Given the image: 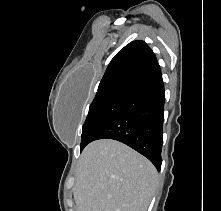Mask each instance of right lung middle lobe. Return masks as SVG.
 Returning <instances> with one entry per match:
<instances>
[{
    "mask_svg": "<svg viewBox=\"0 0 221 211\" xmlns=\"http://www.w3.org/2000/svg\"><path fill=\"white\" fill-rule=\"evenodd\" d=\"M134 91L131 88H118L95 96L82 127L81 150L119 112Z\"/></svg>",
    "mask_w": 221,
    "mask_h": 211,
    "instance_id": "obj_1",
    "label": "right lung middle lobe"
}]
</instances>
